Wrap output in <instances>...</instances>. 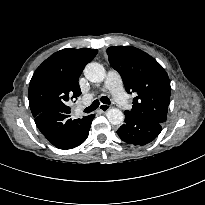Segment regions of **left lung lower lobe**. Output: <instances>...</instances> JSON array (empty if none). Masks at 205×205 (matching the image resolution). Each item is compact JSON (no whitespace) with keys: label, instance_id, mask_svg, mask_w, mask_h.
I'll return each instance as SVG.
<instances>
[{"label":"left lung lower lobe","instance_id":"obj_1","mask_svg":"<svg viewBox=\"0 0 205 205\" xmlns=\"http://www.w3.org/2000/svg\"><path fill=\"white\" fill-rule=\"evenodd\" d=\"M125 123L117 130L122 141L143 146L152 142L162 130V123L125 113Z\"/></svg>","mask_w":205,"mask_h":205}]
</instances>
